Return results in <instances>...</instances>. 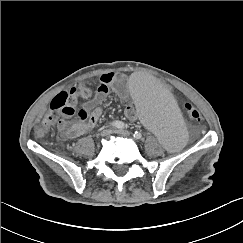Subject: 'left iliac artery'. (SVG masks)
Wrapping results in <instances>:
<instances>
[{"instance_id": "44dca946", "label": "left iliac artery", "mask_w": 243, "mask_h": 243, "mask_svg": "<svg viewBox=\"0 0 243 243\" xmlns=\"http://www.w3.org/2000/svg\"><path fill=\"white\" fill-rule=\"evenodd\" d=\"M134 137H135L136 139H141L142 134H141L140 132L136 131V132L134 133Z\"/></svg>"}]
</instances>
